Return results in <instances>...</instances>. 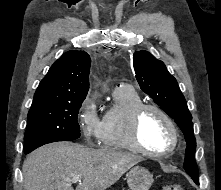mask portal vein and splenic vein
Returning a JSON list of instances; mask_svg holds the SVG:
<instances>
[{"label":"portal vein and splenic vein","mask_w":221,"mask_h":190,"mask_svg":"<svg viewBox=\"0 0 221 190\" xmlns=\"http://www.w3.org/2000/svg\"><path fill=\"white\" fill-rule=\"evenodd\" d=\"M72 182H81V178L79 176H75L73 177Z\"/></svg>","instance_id":"portal-vein-and-splenic-vein-1"}]
</instances>
